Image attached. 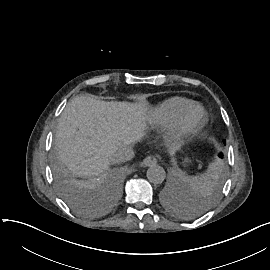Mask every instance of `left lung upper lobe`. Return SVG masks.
I'll list each match as a JSON object with an SVG mask.
<instances>
[{"instance_id":"1","label":"left lung upper lobe","mask_w":270,"mask_h":270,"mask_svg":"<svg viewBox=\"0 0 270 270\" xmlns=\"http://www.w3.org/2000/svg\"><path fill=\"white\" fill-rule=\"evenodd\" d=\"M220 156L223 157V154L221 153Z\"/></svg>"}]
</instances>
